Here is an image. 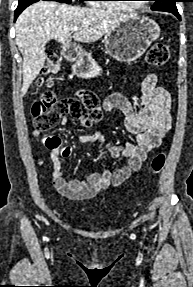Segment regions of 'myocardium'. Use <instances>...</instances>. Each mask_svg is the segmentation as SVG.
Instances as JSON below:
<instances>
[{
    "label": "myocardium",
    "mask_w": 193,
    "mask_h": 287,
    "mask_svg": "<svg viewBox=\"0 0 193 287\" xmlns=\"http://www.w3.org/2000/svg\"><path fill=\"white\" fill-rule=\"evenodd\" d=\"M131 8H134V9H135V8H139V7H138V5H134V6H132Z\"/></svg>",
    "instance_id": "myocardium-1"
}]
</instances>
